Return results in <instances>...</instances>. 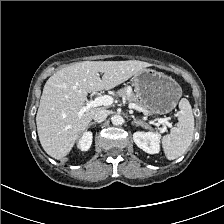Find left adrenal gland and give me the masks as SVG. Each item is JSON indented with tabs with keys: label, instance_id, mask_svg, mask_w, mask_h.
I'll use <instances>...</instances> for the list:
<instances>
[{
	"label": "left adrenal gland",
	"instance_id": "obj_1",
	"mask_svg": "<svg viewBox=\"0 0 224 224\" xmlns=\"http://www.w3.org/2000/svg\"><path fill=\"white\" fill-rule=\"evenodd\" d=\"M132 124L133 125H136V126H142L144 128H151L147 123L143 122L142 120H137V119H133L132 121Z\"/></svg>",
	"mask_w": 224,
	"mask_h": 224
}]
</instances>
